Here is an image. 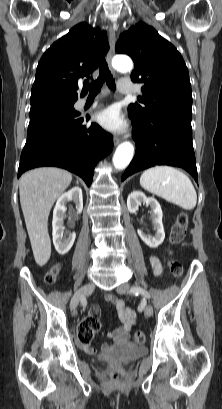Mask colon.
Listing matches in <instances>:
<instances>
[{"mask_svg": "<svg viewBox=\"0 0 222 409\" xmlns=\"http://www.w3.org/2000/svg\"><path fill=\"white\" fill-rule=\"evenodd\" d=\"M188 227V216L185 213H180L177 217L176 222L172 226L170 235H169V250L168 255L172 254V246L179 244L183 241ZM168 268L172 275L176 278H179L183 273L182 265L179 261L173 258H169L167 261ZM59 266L55 265L50 268L45 275V282L47 284H53L59 274ZM100 324L97 321L90 319L83 320L77 328V338L81 343H90L99 330ZM135 341L139 344L145 341V335L138 331L135 334ZM110 377L113 381H118L120 379V374L118 370H113L110 374Z\"/></svg>", "mask_w": 222, "mask_h": 409, "instance_id": "colon-1", "label": "colon"}]
</instances>
